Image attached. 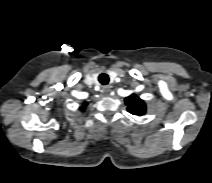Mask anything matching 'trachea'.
Instances as JSON below:
<instances>
[{"label":"trachea","mask_w":212,"mask_h":183,"mask_svg":"<svg viewBox=\"0 0 212 183\" xmlns=\"http://www.w3.org/2000/svg\"><path fill=\"white\" fill-rule=\"evenodd\" d=\"M98 80L102 85H107L109 83V76L105 73H102L99 75Z\"/></svg>","instance_id":"1"}]
</instances>
